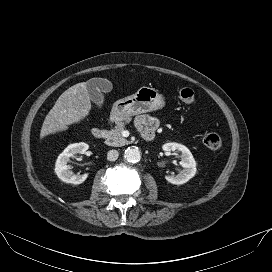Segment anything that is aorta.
Listing matches in <instances>:
<instances>
[{
	"label": "aorta",
	"mask_w": 272,
	"mask_h": 272,
	"mask_svg": "<svg viewBox=\"0 0 272 272\" xmlns=\"http://www.w3.org/2000/svg\"><path fill=\"white\" fill-rule=\"evenodd\" d=\"M124 158L130 163H137L141 159V153L137 148L128 147L124 152Z\"/></svg>",
	"instance_id": "762f6f07"
}]
</instances>
